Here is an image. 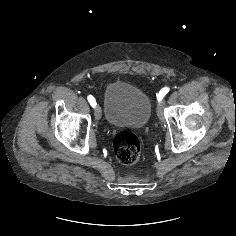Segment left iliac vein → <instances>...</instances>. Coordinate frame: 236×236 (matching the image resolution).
Returning a JSON list of instances; mask_svg holds the SVG:
<instances>
[{
  "mask_svg": "<svg viewBox=\"0 0 236 236\" xmlns=\"http://www.w3.org/2000/svg\"><path fill=\"white\" fill-rule=\"evenodd\" d=\"M162 104H163V102H162ZM162 104H159L158 107H157V115H158V117L161 121H164V114H163V110H162Z\"/></svg>",
  "mask_w": 236,
  "mask_h": 236,
  "instance_id": "obj_1",
  "label": "left iliac vein"
}]
</instances>
